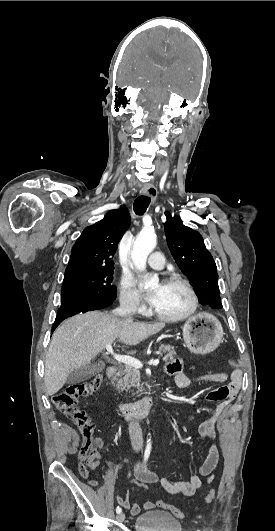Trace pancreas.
<instances>
[{
	"mask_svg": "<svg viewBox=\"0 0 275 531\" xmlns=\"http://www.w3.org/2000/svg\"><path fill=\"white\" fill-rule=\"evenodd\" d=\"M161 351L166 353L163 357V361H173L176 355L175 347H171V345H161V347H159V353H161ZM140 379L141 377L138 369L130 367V365H124V367L121 365L116 377H113L112 383L114 387H117L120 391H127V389H132V387H136V389H141V391H143ZM132 395H135L134 391H132Z\"/></svg>",
	"mask_w": 275,
	"mask_h": 531,
	"instance_id": "pancreas-1",
	"label": "pancreas"
}]
</instances>
